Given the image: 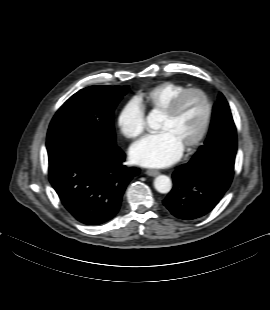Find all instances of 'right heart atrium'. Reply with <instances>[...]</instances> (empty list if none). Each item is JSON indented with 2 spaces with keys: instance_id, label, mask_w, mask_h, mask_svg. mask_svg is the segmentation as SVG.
<instances>
[{
  "instance_id": "obj_1",
  "label": "right heart atrium",
  "mask_w": 270,
  "mask_h": 310,
  "mask_svg": "<svg viewBox=\"0 0 270 310\" xmlns=\"http://www.w3.org/2000/svg\"><path fill=\"white\" fill-rule=\"evenodd\" d=\"M118 126L122 134L135 139L142 135L146 127L145 110L137 99L129 100L118 116Z\"/></svg>"
}]
</instances>
